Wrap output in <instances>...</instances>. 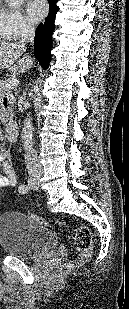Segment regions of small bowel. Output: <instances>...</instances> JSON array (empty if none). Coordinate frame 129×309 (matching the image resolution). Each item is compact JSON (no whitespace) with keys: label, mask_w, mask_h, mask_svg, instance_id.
<instances>
[{"label":"small bowel","mask_w":129,"mask_h":309,"mask_svg":"<svg viewBox=\"0 0 129 309\" xmlns=\"http://www.w3.org/2000/svg\"><path fill=\"white\" fill-rule=\"evenodd\" d=\"M0 140H2L1 137ZM0 168L2 169V174H0V188L15 186L17 176L9 162V153L6 150L0 151Z\"/></svg>","instance_id":"c3829d8e"}]
</instances>
